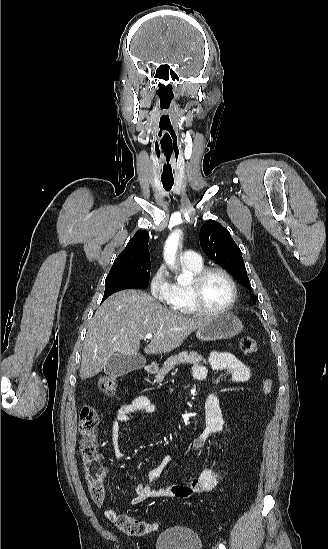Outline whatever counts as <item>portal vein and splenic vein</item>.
Listing matches in <instances>:
<instances>
[{"label":"portal vein and splenic vein","mask_w":328,"mask_h":549,"mask_svg":"<svg viewBox=\"0 0 328 549\" xmlns=\"http://www.w3.org/2000/svg\"><path fill=\"white\" fill-rule=\"evenodd\" d=\"M158 337H160V335H158ZM145 339H153L152 333H147V335H145Z\"/></svg>","instance_id":"1"}]
</instances>
